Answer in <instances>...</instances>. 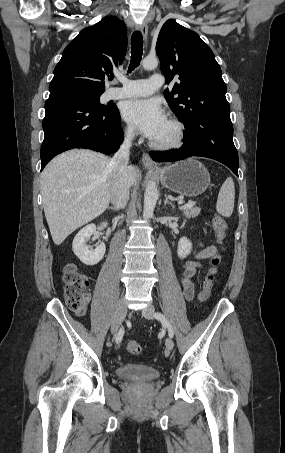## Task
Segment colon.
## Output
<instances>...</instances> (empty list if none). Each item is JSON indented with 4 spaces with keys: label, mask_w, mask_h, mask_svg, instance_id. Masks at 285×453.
I'll use <instances>...</instances> for the list:
<instances>
[{
    "label": "colon",
    "mask_w": 285,
    "mask_h": 453,
    "mask_svg": "<svg viewBox=\"0 0 285 453\" xmlns=\"http://www.w3.org/2000/svg\"><path fill=\"white\" fill-rule=\"evenodd\" d=\"M212 226L217 243L222 245L227 236L226 222L221 216L215 215L212 220ZM221 263L222 258L220 255L216 254L211 258L210 266L204 276L198 295L201 302L208 300L210 297ZM63 282L64 298L68 307L80 315L84 314L90 299L87 276L76 265L67 264L63 268ZM126 349L134 355L141 352V346L134 339L127 340Z\"/></svg>",
    "instance_id": "obj_1"
}]
</instances>
